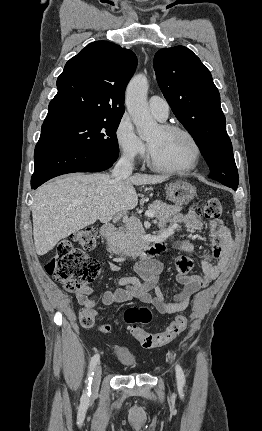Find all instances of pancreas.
<instances>
[{"instance_id": "1", "label": "pancreas", "mask_w": 262, "mask_h": 431, "mask_svg": "<svg viewBox=\"0 0 262 431\" xmlns=\"http://www.w3.org/2000/svg\"><path fill=\"white\" fill-rule=\"evenodd\" d=\"M181 207L167 205L166 203L156 200L148 206L149 211H153L160 220L165 224L178 212ZM145 230L142 223L136 218H130L124 221V225L115 233L113 239V250L124 255H137L146 245L143 239Z\"/></svg>"}]
</instances>
